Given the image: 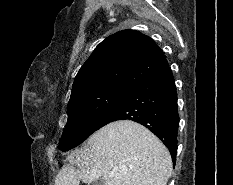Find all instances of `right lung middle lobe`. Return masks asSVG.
Here are the masks:
<instances>
[{
	"mask_svg": "<svg viewBox=\"0 0 233 185\" xmlns=\"http://www.w3.org/2000/svg\"><path fill=\"white\" fill-rule=\"evenodd\" d=\"M129 91L119 87H107L71 99L68 104V120L59 142V149L70 150L98 130L102 120Z\"/></svg>",
	"mask_w": 233,
	"mask_h": 185,
	"instance_id": "obj_1",
	"label": "right lung middle lobe"
}]
</instances>
